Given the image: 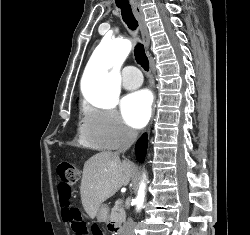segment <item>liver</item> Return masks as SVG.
<instances>
[{"label": "liver", "instance_id": "6515ba94", "mask_svg": "<svg viewBox=\"0 0 250 235\" xmlns=\"http://www.w3.org/2000/svg\"><path fill=\"white\" fill-rule=\"evenodd\" d=\"M134 168L133 163L121 161L113 152H100L85 162L80 194L84 210L91 219L103 202L128 185Z\"/></svg>", "mask_w": 250, "mask_h": 235}]
</instances>
